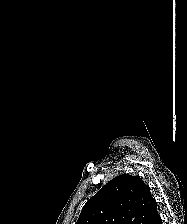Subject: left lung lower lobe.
<instances>
[{
    "label": "left lung lower lobe",
    "mask_w": 187,
    "mask_h": 224,
    "mask_svg": "<svg viewBox=\"0 0 187 224\" xmlns=\"http://www.w3.org/2000/svg\"><path fill=\"white\" fill-rule=\"evenodd\" d=\"M152 224H162L161 217L158 216V217L152 222Z\"/></svg>",
    "instance_id": "1"
}]
</instances>
